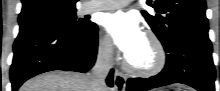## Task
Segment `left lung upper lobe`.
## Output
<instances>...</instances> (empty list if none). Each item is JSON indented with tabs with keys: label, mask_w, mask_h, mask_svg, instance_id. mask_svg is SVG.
Returning <instances> with one entry per match:
<instances>
[{
	"label": "left lung upper lobe",
	"mask_w": 220,
	"mask_h": 91,
	"mask_svg": "<svg viewBox=\"0 0 220 91\" xmlns=\"http://www.w3.org/2000/svg\"><path fill=\"white\" fill-rule=\"evenodd\" d=\"M143 16L164 47L181 37H208L205 0H148Z\"/></svg>",
	"instance_id": "obj_1"
}]
</instances>
